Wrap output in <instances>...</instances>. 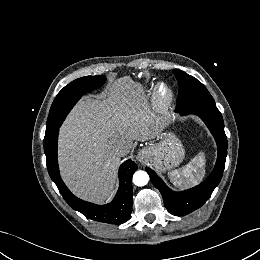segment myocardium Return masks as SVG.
<instances>
[{
  "instance_id": "myocardium-1",
  "label": "myocardium",
  "mask_w": 260,
  "mask_h": 260,
  "mask_svg": "<svg viewBox=\"0 0 260 260\" xmlns=\"http://www.w3.org/2000/svg\"><path fill=\"white\" fill-rule=\"evenodd\" d=\"M162 91L166 95H162ZM174 103V93L172 89L165 83H158L153 92V106L159 113H167Z\"/></svg>"
}]
</instances>
